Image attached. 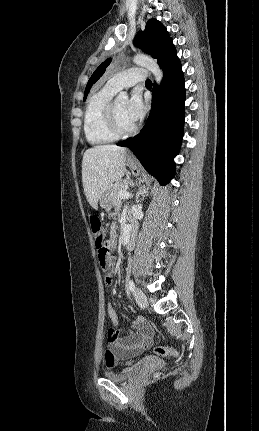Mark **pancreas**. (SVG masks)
I'll list each match as a JSON object with an SVG mask.
<instances>
[{"instance_id":"pancreas-1","label":"pancreas","mask_w":259,"mask_h":431,"mask_svg":"<svg viewBox=\"0 0 259 431\" xmlns=\"http://www.w3.org/2000/svg\"><path fill=\"white\" fill-rule=\"evenodd\" d=\"M132 181L123 179L117 181L111 188H110V200L112 205L117 204L120 201L119 192L126 190L125 187L128 184H131Z\"/></svg>"}]
</instances>
